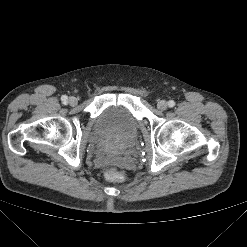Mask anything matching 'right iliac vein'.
<instances>
[{
  "label": "right iliac vein",
  "mask_w": 247,
  "mask_h": 247,
  "mask_svg": "<svg viewBox=\"0 0 247 247\" xmlns=\"http://www.w3.org/2000/svg\"><path fill=\"white\" fill-rule=\"evenodd\" d=\"M68 103L71 105V106H75L77 103H78V100H77V98L76 97H70L69 99H68Z\"/></svg>",
  "instance_id": "obj_1"
}]
</instances>
